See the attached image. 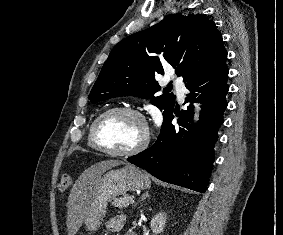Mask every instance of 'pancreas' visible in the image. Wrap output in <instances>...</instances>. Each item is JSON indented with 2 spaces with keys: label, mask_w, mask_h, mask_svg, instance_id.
Listing matches in <instances>:
<instances>
[{
  "label": "pancreas",
  "mask_w": 283,
  "mask_h": 235,
  "mask_svg": "<svg viewBox=\"0 0 283 235\" xmlns=\"http://www.w3.org/2000/svg\"><path fill=\"white\" fill-rule=\"evenodd\" d=\"M134 197L132 195H126L121 198H117L112 202V205L116 208L123 209L126 208L131 202Z\"/></svg>",
  "instance_id": "obj_1"
}]
</instances>
